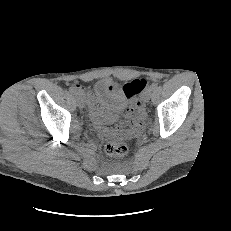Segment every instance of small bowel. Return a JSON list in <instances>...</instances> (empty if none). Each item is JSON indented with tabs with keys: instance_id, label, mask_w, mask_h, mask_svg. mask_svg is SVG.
Returning a JSON list of instances; mask_svg holds the SVG:
<instances>
[{
	"instance_id": "c3829d8e",
	"label": "small bowel",
	"mask_w": 231,
	"mask_h": 231,
	"mask_svg": "<svg viewBox=\"0 0 231 231\" xmlns=\"http://www.w3.org/2000/svg\"><path fill=\"white\" fill-rule=\"evenodd\" d=\"M87 103L93 125L99 131V135L102 139L119 137L123 134V132L115 130L112 127L113 124L118 122V116L113 115L103 109L95 98L89 93L87 94ZM126 117L134 118L136 126H140L144 120V115L142 113L135 115L134 110L131 108H129Z\"/></svg>"
}]
</instances>
